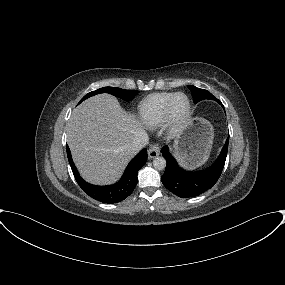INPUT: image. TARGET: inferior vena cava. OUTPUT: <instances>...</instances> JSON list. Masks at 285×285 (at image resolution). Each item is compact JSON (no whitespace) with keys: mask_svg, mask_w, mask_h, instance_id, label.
<instances>
[{"mask_svg":"<svg viewBox=\"0 0 285 285\" xmlns=\"http://www.w3.org/2000/svg\"><path fill=\"white\" fill-rule=\"evenodd\" d=\"M149 142L148 134L145 131H140L134 137L132 143L130 144V149L133 152H138L144 148Z\"/></svg>","mask_w":285,"mask_h":285,"instance_id":"602c4592","label":"inferior vena cava"}]
</instances>
